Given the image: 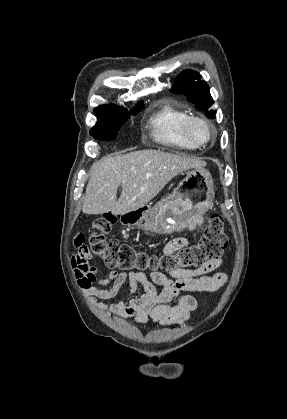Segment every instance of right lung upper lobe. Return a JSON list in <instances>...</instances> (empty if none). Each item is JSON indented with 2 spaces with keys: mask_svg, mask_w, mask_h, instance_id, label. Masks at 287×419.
<instances>
[{
  "mask_svg": "<svg viewBox=\"0 0 287 419\" xmlns=\"http://www.w3.org/2000/svg\"><path fill=\"white\" fill-rule=\"evenodd\" d=\"M143 106H144L143 101H140V102H138L136 108L143 107ZM118 110H124V109L119 108V107H115V106H112V105H101V106H98L94 109V113H95V115H97V114H102V113H106V112H114V111H118Z\"/></svg>",
  "mask_w": 287,
  "mask_h": 419,
  "instance_id": "1",
  "label": "right lung upper lobe"
}]
</instances>
